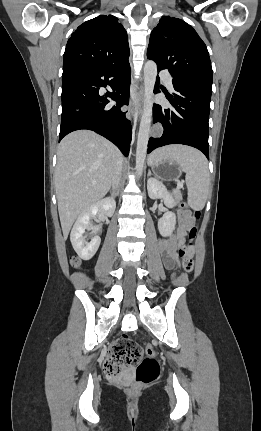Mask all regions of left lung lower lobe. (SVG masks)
Returning a JSON list of instances; mask_svg holds the SVG:
<instances>
[{"label":"left lung lower lobe","mask_w":261,"mask_h":431,"mask_svg":"<svg viewBox=\"0 0 261 431\" xmlns=\"http://www.w3.org/2000/svg\"><path fill=\"white\" fill-rule=\"evenodd\" d=\"M158 83L159 77L154 93L160 92ZM172 83L174 93L167 99L173 108L164 109L154 104L153 122H160L164 130L162 134L149 139L147 153L165 145L184 144L199 149L209 159L208 121L212 87L174 79Z\"/></svg>","instance_id":"0a47b994"}]
</instances>
